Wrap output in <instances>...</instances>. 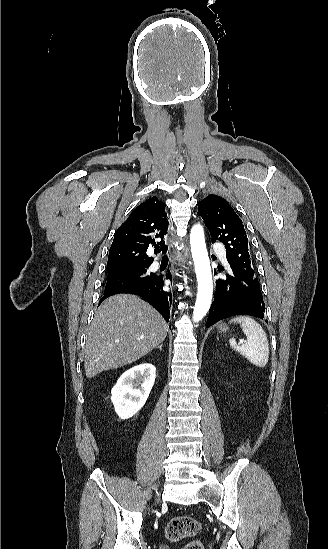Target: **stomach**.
<instances>
[{
  "label": "stomach",
  "mask_w": 328,
  "mask_h": 549,
  "mask_svg": "<svg viewBox=\"0 0 328 549\" xmlns=\"http://www.w3.org/2000/svg\"><path fill=\"white\" fill-rule=\"evenodd\" d=\"M227 329H228L227 325H219L218 327L219 333H226Z\"/></svg>",
  "instance_id": "stomach-1"
}]
</instances>
